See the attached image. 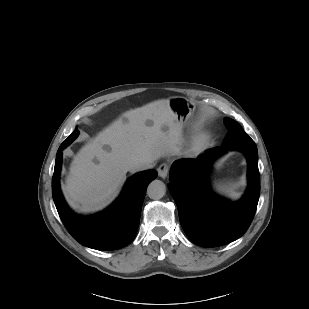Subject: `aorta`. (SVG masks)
<instances>
[{"label": "aorta", "instance_id": "1", "mask_svg": "<svg viewBox=\"0 0 309 309\" xmlns=\"http://www.w3.org/2000/svg\"><path fill=\"white\" fill-rule=\"evenodd\" d=\"M166 192L165 184L160 180H153L147 187V195L149 198L158 200L161 199Z\"/></svg>", "mask_w": 309, "mask_h": 309}]
</instances>
